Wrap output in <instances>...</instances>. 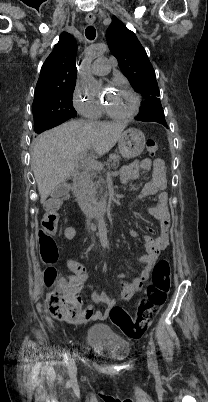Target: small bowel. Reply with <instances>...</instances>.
Listing matches in <instances>:
<instances>
[{
    "instance_id": "1",
    "label": "small bowel",
    "mask_w": 208,
    "mask_h": 402,
    "mask_svg": "<svg viewBox=\"0 0 208 402\" xmlns=\"http://www.w3.org/2000/svg\"><path fill=\"white\" fill-rule=\"evenodd\" d=\"M166 171L167 168L165 161L161 158H156L154 160L144 158L140 161H134L131 164L122 167L120 170V181L122 184L140 179L141 172L151 174V179L141 189L137 198L145 199L159 193L157 203L147 206L146 210L160 222V234L158 237L155 239H146L147 252L140 258V262L144 264V268L140 272V275L132 281H121L122 300H128L132 294L138 291L141 285L147 281L149 272L157 255L169 245L170 216L168 211V195L165 191L167 187ZM130 234L133 237L136 235L133 231H131ZM65 235L67 238L71 239L74 237L75 232L72 228H67L65 230ZM68 269L70 275L67 278H63V280H72L73 291L72 295L68 296V298L77 300V292L80 291L86 280V272L84 267L74 260L68 262ZM93 300L96 303L103 304L107 309L104 311H96L90 318H84L82 321L94 319L96 324H104L108 308L115 305V300L103 293H95L93 295ZM60 327L62 330H80L82 324L77 315H64Z\"/></svg>"
}]
</instances>
